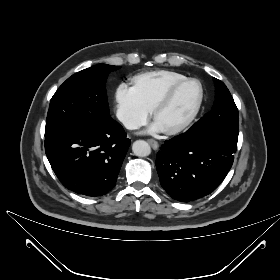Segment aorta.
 Instances as JSON below:
<instances>
[{
  "label": "aorta",
  "instance_id": "1",
  "mask_svg": "<svg viewBox=\"0 0 280 280\" xmlns=\"http://www.w3.org/2000/svg\"><path fill=\"white\" fill-rule=\"evenodd\" d=\"M134 155L138 157H146L151 153L150 145L144 140H137L132 145Z\"/></svg>",
  "mask_w": 280,
  "mask_h": 280
}]
</instances>
